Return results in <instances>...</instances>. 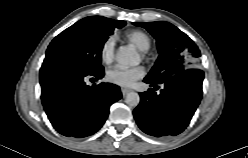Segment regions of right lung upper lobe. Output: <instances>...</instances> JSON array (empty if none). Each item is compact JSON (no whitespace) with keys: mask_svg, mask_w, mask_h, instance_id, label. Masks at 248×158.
<instances>
[{"mask_svg":"<svg viewBox=\"0 0 248 158\" xmlns=\"http://www.w3.org/2000/svg\"><path fill=\"white\" fill-rule=\"evenodd\" d=\"M91 17H94V18L100 20L104 24H110V23H113V22L116 21V20H112V19H109V18L101 17V16H91Z\"/></svg>","mask_w":248,"mask_h":158,"instance_id":"cb5924a9","label":"right lung upper lobe"}]
</instances>
